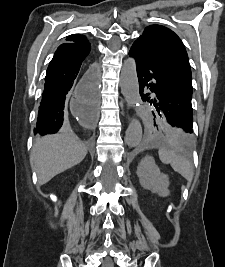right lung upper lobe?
<instances>
[{
  "label": "right lung upper lobe",
  "mask_w": 225,
  "mask_h": 267,
  "mask_svg": "<svg viewBox=\"0 0 225 267\" xmlns=\"http://www.w3.org/2000/svg\"><path fill=\"white\" fill-rule=\"evenodd\" d=\"M68 42L72 43H88L86 37L80 34H73L67 37L66 39Z\"/></svg>",
  "instance_id": "obj_1"
}]
</instances>
